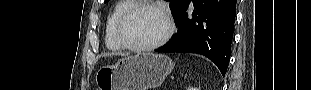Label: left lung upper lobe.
I'll use <instances>...</instances> for the list:
<instances>
[{"instance_id":"1","label":"left lung upper lobe","mask_w":311,"mask_h":90,"mask_svg":"<svg viewBox=\"0 0 311 90\" xmlns=\"http://www.w3.org/2000/svg\"><path fill=\"white\" fill-rule=\"evenodd\" d=\"M108 0H105L107 2ZM191 2V0H172L170 1V9L175 17L177 19L181 12L186 8V6Z\"/></svg>"}]
</instances>
